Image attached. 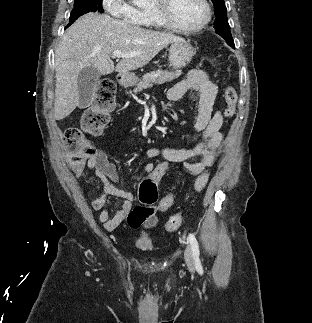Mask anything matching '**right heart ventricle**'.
<instances>
[{
  "instance_id": "obj_1",
  "label": "right heart ventricle",
  "mask_w": 312,
  "mask_h": 323,
  "mask_svg": "<svg viewBox=\"0 0 312 323\" xmlns=\"http://www.w3.org/2000/svg\"><path fill=\"white\" fill-rule=\"evenodd\" d=\"M136 16H139V25H162L163 20L159 18L157 9H136Z\"/></svg>"
}]
</instances>
